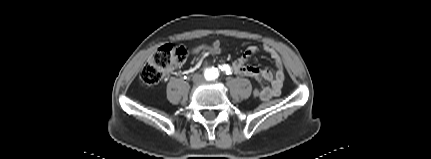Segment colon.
<instances>
[{"mask_svg": "<svg viewBox=\"0 0 431 159\" xmlns=\"http://www.w3.org/2000/svg\"><path fill=\"white\" fill-rule=\"evenodd\" d=\"M225 54L224 48H210L206 50L207 56H221ZM188 56V50L184 46L167 44L158 48L140 72V81L144 85H154L161 81L170 70L181 65ZM252 95L261 94L260 88H253Z\"/></svg>", "mask_w": 431, "mask_h": 159, "instance_id": "obj_1", "label": "colon"}]
</instances>
